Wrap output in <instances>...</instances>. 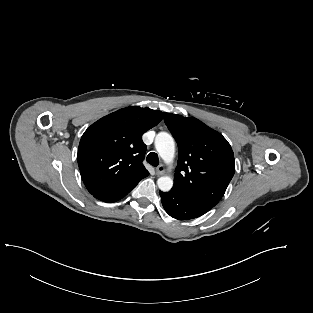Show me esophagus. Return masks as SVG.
<instances>
[{
	"label": "esophagus",
	"mask_w": 313,
	"mask_h": 313,
	"mask_svg": "<svg viewBox=\"0 0 313 313\" xmlns=\"http://www.w3.org/2000/svg\"><path fill=\"white\" fill-rule=\"evenodd\" d=\"M165 172V167L163 165H159L157 168H156V174L157 175H162L164 174Z\"/></svg>",
	"instance_id": "1"
}]
</instances>
